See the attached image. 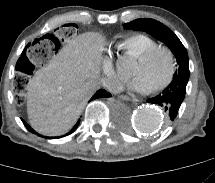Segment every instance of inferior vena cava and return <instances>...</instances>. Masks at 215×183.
I'll list each match as a JSON object with an SVG mask.
<instances>
[{"mask_svg":"<svg viewBox=\"0 0 215 183\" xmlns=\"http://www.w3.org/2000/svg\"><path fill=\"white\" fill-rule=\"evenodd\" d=\"M101 84L104 86V87H107L109 85V81L107 79H102L101 80Z\"/></svg>","mask_w":215,"mask_h":183,"instance_id":"602c4592","label":"inferior vena cava"}]
</instances>
